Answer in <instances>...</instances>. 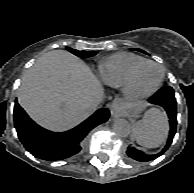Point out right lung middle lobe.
I'll list each match as a JSON object with an SVG mask.
<instances>
[{
	"label": "right lung middle lobe",
	"instance_id": "dd1d6c3e",
	"mask_svg": "<svg viewBox=\"0 0 194 193\" xmlns=\"http://www.w3.org/2000/svg\"><path fill=\"white\" fill-rule=\"evenodd\" d=\"M67 50H69L71 53L75 54L76 56L82 57V58H87L97 53L96 51H78L69 47H67Z\"/></svg>",
	"mask_w": 194,
	"mask_h": 193
}]
</instances>
